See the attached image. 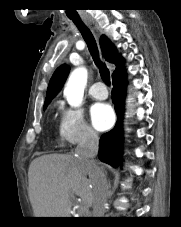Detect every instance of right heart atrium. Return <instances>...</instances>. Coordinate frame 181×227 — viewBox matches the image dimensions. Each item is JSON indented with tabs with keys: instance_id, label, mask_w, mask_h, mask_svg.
Segmentation results:
<instances>
[{
	"instance_id": "d8ad5b80",
	"label": "right heart atrium",
	"mask_w": 181,
	"mask_h": 227,
	"mask_svg": "<svg viewBox=\"0 0 181 227\" xmlns=\"http://www.w3.org/2000/svg\"><path fill=\"white\" fill-rule=\"evenodd\" d=\"M61 121L59 133L61 139L69 145L93 143L98 140L96 131L85 120L79 108L60 105Z\"/></svg>"
}]
</instances>
